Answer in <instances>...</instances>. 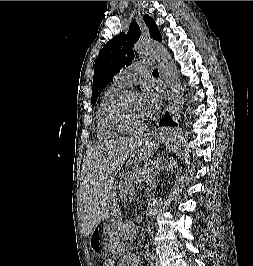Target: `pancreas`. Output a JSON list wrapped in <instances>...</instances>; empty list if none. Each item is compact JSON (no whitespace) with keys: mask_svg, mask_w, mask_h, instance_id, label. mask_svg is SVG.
<instances>
[{"mask_svg":"<svg viewBox=\"0 0 253 266\" xmlns=\"http://www.w3.org/2000/svg\"><path fill=\"white\" fill-rule=\"evenodd\" d=\"M143 179H147L144 176L139 175L137 172L127 175L124 180L120 183V199L122 202L128 201V198L131 200L135 195V185L134 182H141Z\"/></svg>","mask_w":253,"mask_h":266,"instance_id":"pancreas-1","label":"pancreas"}]
</instances>
